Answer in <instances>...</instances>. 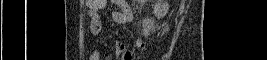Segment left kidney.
<instances>
[{"label":"left kidney","instance_id":"1","mask_svg":"<svg viewBox=\"0 0 267 60\" xmlns=\"http://www.w3.org/2000/svg\"><path fill=\"white\" fill-rule=\"evenodd\" d=\"M169 4L167 2L159 1L153 7V13L158 19L163 18L169 11Z\"/></svg>","mask_w":267,"mask_h":60}]
</instances>
